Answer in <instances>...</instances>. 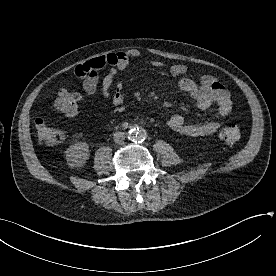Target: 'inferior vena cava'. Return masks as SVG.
Here are the masks:
<instances>
[{"mask_svg": "<svg viewBox=\"0 0 276 276\" xmlns=\"http://www.w3.org/2000/svg\"><path fill=\"white\" fill-rule=\"evenodd\" d=\"M113 139L116 144H123L125 140V133L120 131L115 132L113 135Z\"/></svg>", "mask_w": 276, "mask_h": 276, "instance_id": "inferior-vena-cava-1", "label": "inferior vena cava"}]
</instances>
